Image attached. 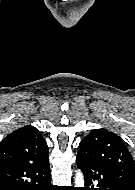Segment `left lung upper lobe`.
Segmentation results:
<instances>
[{"mask_svg":"<svg viewBox=\"0 0 135 190\" xmlns=\"http://www.w3.org/2000/svg\"><path fill=\"white\" fill-rule=\"evenodd\" d=\"M78 148L77 158L109 170L128 190H135L134 161L116 134L96 129L80 142Z\"/></svg>","mask_w":135,"mask_h":190,"instance_id":"obj_1","label":"left lung upper lobe"}]
</instances>
